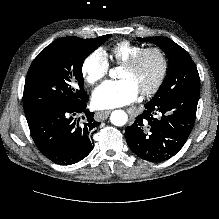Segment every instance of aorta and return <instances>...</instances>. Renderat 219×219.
<instances>
[{
	"mask_svg": "<svg viewBox=\"0 0 219 219\" xmlns=\"http://www.w3.org/2000/svg\"><path fill=\"white\" fill-rule=\"evenodd\" d=\"M109 76L111 78L116 77V71L114 69H111L109 71ZM128 116L127 113L123 110H115L111 113L110 121L115 126H123L127 123Z\"/></svg>",
	"mask_w": 219,
	"mask_h": 219,
	"instance_id": "obj_1",
	"label": "aorta"
}]
</instances>
